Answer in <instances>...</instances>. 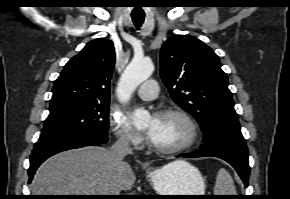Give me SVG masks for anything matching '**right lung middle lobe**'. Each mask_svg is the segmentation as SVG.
<instances>
[{
    "instance_id": "right-lung-middle-lobe-1",
    "label": "right lung middle lobe",
    "mask_w": 290,
    "mask_h": 199,
    "mask_svg": "<svg viewBox=\"0 0 290 199\" xmlns=\"http://www.w3.org/2000/svg\"><path fill=\"white\" fill-rule=\"evenodd\" d=\"M109 103L73 104L50 110L38 141L91 133L107 136Z\"/></svg>"
}]
</instances>
